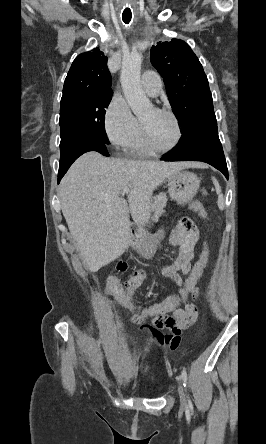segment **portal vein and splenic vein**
<instances>
[{"label":"portal vein and splenic vein","mask_w":266,"mask_h":444,"mask_svg":"<svg viewBox=\"0 0 266 444\" xmlns=\"http://www.w3.org/2000/svg\"><path fill=\"white\" fill-rule=\"evenodd\" d=\"M130 192V189L129 188H124L123 190H122V194H128Z\"/></svg>","instance_id":"1"}]
</instances>
